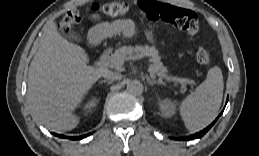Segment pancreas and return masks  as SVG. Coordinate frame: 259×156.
Listing matches in <instances>:
<instances>
[{"instance_id":"1","label":"pancreas","mask_w":259,"mask_h":156,"mask_svg":"<svg viewBox=\"0 0 259 156\" xmlns=\"http://www.w3.org/2000/svg\"><path fill=\"white\" fill-rule=\"evenodd\" d=\"M143 57H149L150 62H152V68L154 73L160 77L167 79L168 70L160 62V56L158 52L147 45L145 46H123L117 49L108 59V64L111 68L120 69L124 61L136 60ZM168 80V79H167Z\"/></svg>"}]
</instances>
